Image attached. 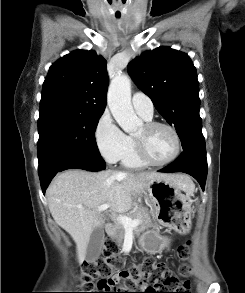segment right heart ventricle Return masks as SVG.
Masks as SVG:
<instances>
[{
	"mask_svg": "<svg viewBox=\"0 0 245 293\" xmlns=\"http://www.w3.org/2000/svg\"><path fill=\"white\" fill-rule=\"evenodd\" d=\"M122 164L129 169H141L146 166L137 156L135 143L133 141L130 149L122 158Z\"/></svg>",
	"mask_w": 245,
	"mask_h": 293,
	"instance_id": "e07e8e85",
	"label": "right heart ventricle"
}]
</instances>
